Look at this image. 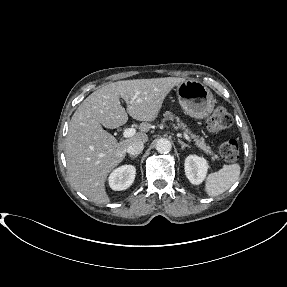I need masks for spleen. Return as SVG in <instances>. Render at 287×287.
I'll return each mask as SVG.
<instances>
[{"label":"spleen","mask_w":287,"mask_h":287,"mask_svg":"<svg viewBox=\"0 0 287 287\" xmlns=\"http://www.w3.org/2000/svg\"><path fill=\"white\" fill-rule=\"evenodd\" d=\"M240 165H224L219 171L208 175L205 191L208 196L215 197L227 191L239 178Z\"/></svg>","instance_id":"1"}]
</instances>
